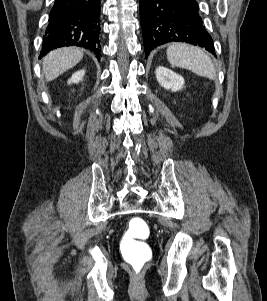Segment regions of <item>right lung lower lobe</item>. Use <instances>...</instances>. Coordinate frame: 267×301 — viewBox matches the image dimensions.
I'll return each instance as SVG.
<instances>
[{
  "mask_svg": "<svg viewBox=\"0 0 267 301\" xmlns=\"http://www.w3.org/2000/svg\"><path fill=\"white\" fill-rule=\"evenodd\" d=\"M100 0H55L40 54L63 46H80L100 60Z\"/></svg>",
  "mask_w": 267,
  "mask_h": 301,
  "instance_id": "right-lung-lower-lobe-1",
  "label": "right lung lower lobe"
}]
</instances>
